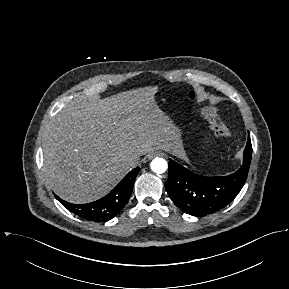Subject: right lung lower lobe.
Wrapping results in <instances>:
<instances>
[{
    "label": "right lung lower lobe",
    "mask_w": 289,
    "mask_h": 289,
    "mask_svg": "<svg viewBox=\"0 0 289 289\" xmlns=\"http://www.w3.org/2000/svg\"><path fill=\"white\" fill-rule=\"evenodd\" d=\"M139 167L129 172L124 179L105 197L88 204H71L55 195L68 210L92 221H106L114 217L128 201Z\"/></svg>",
    "instance_id": "right-lung-lower-lobe-1"
}]
</instances>
